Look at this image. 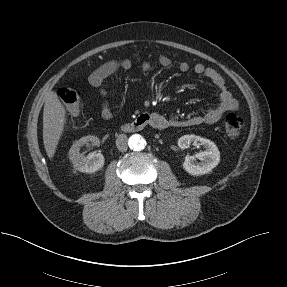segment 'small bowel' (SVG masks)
Returning <instances> with one entry per match:
<instances>
[{
    "label": "small bowel",
    "instance_id": "c3829d8e",
    "mask_svg": "<svg viewBox=\"0 0 287 287\" xmlns=\"http://www.w3.org/2000/svg\"><path fill=\"white\" fill-rule=\"evenodd\" d=\"M158 63L162 67L168 68L172 66L173 61L167 55H160ZM141 66L143 71H148L151 68L148 61H143ZM131 68L132 62L128 58L112 59L100 65L89 75L88 81L90 85L99 89L100 95L103 99L101 117L104 120H110L113 116L112 110L107 101V91L104 87L106 79L118 71H128ZM178 68L183 73L193 70L194 73L209 79L218 91V103L208 108L201 115H192L185 118L167 117L158 113H152V115L156 116L158 119L157 128L166 129L169 127H191L204 123L214 124L225 112L238 109V101L228 90L225 79L215 68L205 66L202 63H196L191 67V65L186 61L180 62Z\"/></svg>",
    "mask_w": 287,
    "mask_h": 287
}]
</instances>
